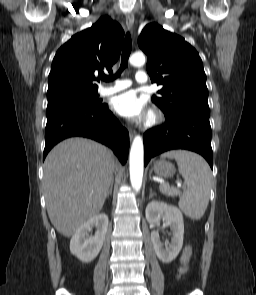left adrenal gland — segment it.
I'll use <instances>...</instances> for the list:
<instances>
[{
    "label": "left adrenal gland",
    "instance_id": "a2214340",
    "mask_svg": "<svg viewBox=\"0 0 256 295\" xmlns=\"http://www.w3.org/2000/svg\"><path fill=\"white\" fill-rule=\"evenodd\" d=\"M155 194L152 192V189L150 188V194H149V199H151Z\"/></svg>",
    "mask_w": 256,
    "mask_h": 295
}]
</instances>
